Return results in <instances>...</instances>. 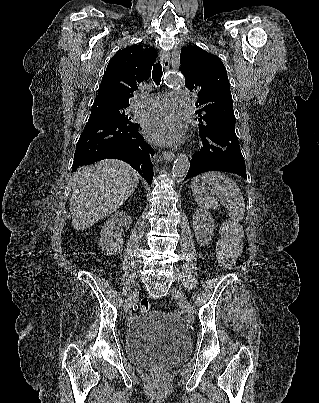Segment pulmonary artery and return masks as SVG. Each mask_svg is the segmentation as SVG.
Returning a JSON list of instances; mask_svg holds the SVG:
<instances>
[{
    "instance_id": "obj_1",
    "label": "pulmonary artery",
    "mask_w": 319,
    "mask_h": 403,
    "mask_svg": "<svg viewBox=\"0 0 319 403\" xmlns=\"http://www.w3.org/2000/svg\"><path fill=\"white\" fill-rule=\"evenodd\" d=\"M189 93L185 90H173L168 94H152L143 96L132 105L134 112L162 111L169 106L185 107L188 104Z\"/></svg>"
}]
</instances>
